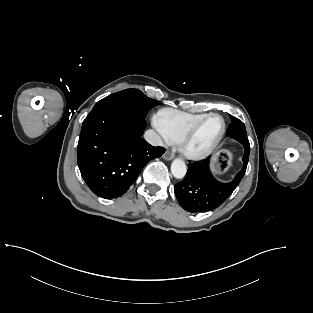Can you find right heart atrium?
Masks as SVG:
<instances>
[{"mask_svg": "<svg viewBox=\"0 0 313 313\" xmlns=\"http://www.w3.org/2000/svg\"><path fill=\"white\" fill-rule=\"evenodd\" d=\"M155 125H156V121H155ZM156 127H157V125H156ZM158 128V127H157ZM159 129V128H158ZM160 131V130H159ZM161 132V131H160ZM163 135V134H162ZM164 137V136H163ZM165 138V137H164ZM165 140H166V138H165ZM167 141V140H166Z\"/></svg>", "mask_w": 313, "mask_h": 313, "instance_id": "obj_1", "label": "right heart atrium"}]
</instances>
